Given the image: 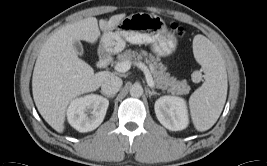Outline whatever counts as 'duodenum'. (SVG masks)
<instances>
[{
  "label": "duodenum",
  "instance_id": "duodenum-1",
  "mask_svg": "<svg viewBox=\"0 0 267 166\" xmlns=\"http://www.w3.org/2000/svg\"><path fill=\"white\" fill-rule=\"evenodd\" d=\"M111 56L110 54L106 53V52H102L100 54L99 60H98V66L101 69L106 68L110 63H111Z\"/></svg>",
  "mask_w": 267,
  "mask_h": 166
}]
</instances>
